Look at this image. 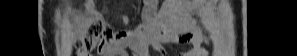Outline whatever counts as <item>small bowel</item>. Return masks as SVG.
Segmentation results:
<instances>
[{"instance_id": "1", "label": "small bowel", "mask_w": 297, "mask_h": 56, "mask_svg": "<svg viewBox=\"0 0 297 56\" xmlns=\"http://www.w3.org/2000/svg\"><path fill=\"white\" fill-rule=\"evenodd\" d=\"M154 6L153 1H148L146 3V13L150 14ZM185 6V1L166 0L163 2L160 19H171V33H165L162 30L159 36L155 35L154 29L156 25L145 26L139 33H121L110 39L100 49V55L113 56L120 52L125 55L124 51L129 50L135 56H149L150 47L164 55L163 42H178L192 46L191 50L182 54L183 56H206L207 50L203 47V44L208 45L210 43L208 37L200 33L198 29L188 27L184 21L173 19L174 14L177 11L183 10ZM123 19L125 22L127 21L126 16ZM79 56H85V54H79Z\"/></svg>"}]
</instances>
